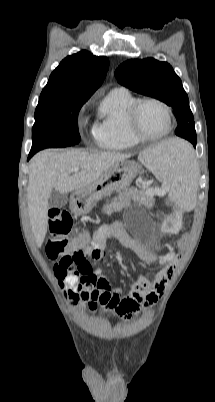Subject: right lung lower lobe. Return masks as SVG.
Returning a JSON list of instances; mask_svg holds the SVG:
<instances>
[{
	"instance_id": "1",
	"label": "right lung lower lobe",
	"mask_w": 215,
	"mask_h": 402,
	"mask_svg": "<svg viewBox=\"0 0 215 402\" xmlns=\"http://www.w3.org/2000/svg\"><path fill=\"white\" fill-rule=\"evenodd\" d=\"M32 156H33L32 154H29L28 159H30Z\"/></svg>"
}]
</instances>
